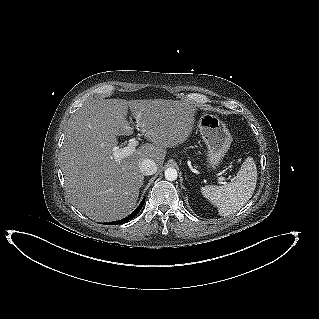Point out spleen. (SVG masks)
Returning a JSON list of instances; mask_svg holds the SVG:
<instances>
[{
  "mask_svg": "<svg viewBox=\"0 0 319 319\" xmlns=\"http://www.w3.org/2000/svg\"><path fill=\"white\" fill-rule=\"evenodd\" d=\"M257 183V167L252 157L243 162L235 180L222 186L206 185L203 196L218 207L221 216L239 211L252 197Z\"/></svg>",
  "mask_w": 319,
  "mask_h": 319,
  "instance_id": "1",
  "label": "spleen"
}]
</instances>
